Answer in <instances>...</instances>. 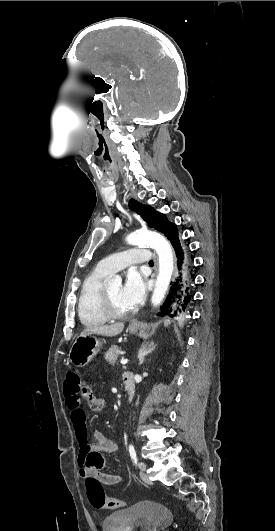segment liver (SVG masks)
Returning a JSON list of instances; mask_svg holds the SVG:
<instances>
[{"instance_id":"liver-1","label":"liver","mask_w":275,"mask_h":531,"mask_svg":"<svg viewBox=\"0 0 275 531\" xmlns=\"http://www.w3.org/2000/svg\"><path fill=\"white\" fill-rule=\"evenodd\" d=\"M124 329V323H114V325H97V327H89V329H85L82 335H103V337H116V335H120Z\"/></svg>"}]
</instances>
